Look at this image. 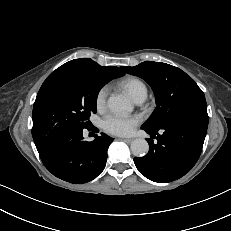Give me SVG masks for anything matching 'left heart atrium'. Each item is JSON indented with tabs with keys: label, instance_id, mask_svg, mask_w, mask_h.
<instances>
[{
	"label": "left heart atrium",
	"instance_id": "1",
	"mask_svg": "<svg viewBox=\"0 0 231 231\" xmlns=\"http://www.w3.org/2000/svg\"><path fill=\"white\" fill-rule=\"evenodd\" d=\"M139 118L120 114H111L103 121V128L115 135H128L139 123Z\"/></svg>",
	"mask_w": 231,
	"mask_h": 231
}]
</instances>
